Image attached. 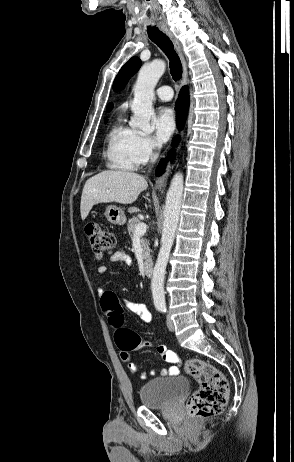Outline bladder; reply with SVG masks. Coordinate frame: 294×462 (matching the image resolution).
Wrapping results in <instances>:
<instances>
[{"label":"bladder","mask_w":294,"mask_h":462,"mask_svg":"<svg viewBox=\"0 0 294 462\" xmlns=\"http://www.w3.org/2000/svg\"><path fill=\"white\" fill-rule=\"evenodd\" d=\"M188 389L189 383L183 376L154 379L141 385L139 398L145 407L166 408L176 402Z\"/></svg>","instance_id":"obj_1"}]
</instances>
